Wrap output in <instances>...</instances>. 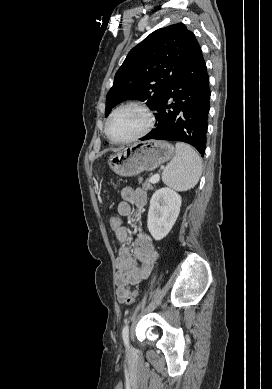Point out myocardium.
<instances>
[{
  "mask_svg": "<svg viewBox=\"0 0 272 389\" xmlns=\"http://www.w3.org/2000/svg\"><path fill=\"white\" fill-rule=\"evenodd\" d=\"M125 108H136V109L140 110L145 116L146 123H145L144 127L139 132L134 134L133 136L126 138V139H122V140H115L110 136L109 124H110L112 118L114 117V115L117 112H119L120 110L125 109ZM154 120H155V118H154V114H153L152 110L144 103L138 102V101L126 102V103H123V104L119 105L118 107H116L108 116L106 123H105V135H106L107 139L113 144L130 143V142L138 140V139L144 137L145 135H147L151 131V129L154 125Z\"/></svg>",
  "mask_w": 272,
  "mask_h": 389,
  "instance_id": "myocardium-1",
  "label": "myocardium"
}]
</instances>
